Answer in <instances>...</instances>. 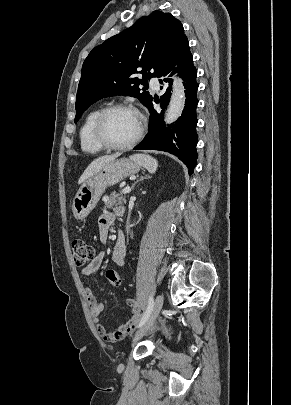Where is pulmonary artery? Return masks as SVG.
Masks as SVG:
<instances>
[{
	"mask_svg": "<svg viewBox=\"0 0 291 405\" xmlns=\"http://www.w3.org/2000/svg\"><path fill=\"white\" fill-rule=\"evenodd\" d=\"M150 84H151L152 89H154V90L159 89V81H158V79L156 77H152L150 79Z\"/></svg>",
	"mask_w": 291,
	"mask_h": 405,
	"instance_id": "1",
	"label": "pulmonary artery"
}]
</instances>
